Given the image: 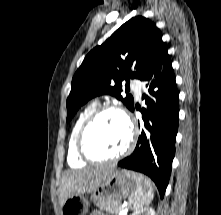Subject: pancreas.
<instances>
[{
    "label": "pancreas",
    "instance_id": "1",
    "mask_svg": "<svg viewBox=\"0 0 221 215\" xmlns=\"http://www.w3.org/2000/svg\"><path fill=\"white\" fill-rule=\"evenodd\" d=\"M96 205L100 209L106 210L107 212L114 214V215H118V213L123 210V207L121 206V202L116 201V200H108L105 202H99V203H96Z\"/></svg>",
    "mask_w": 221,
    "mask_h": 215
}]
</instances>
